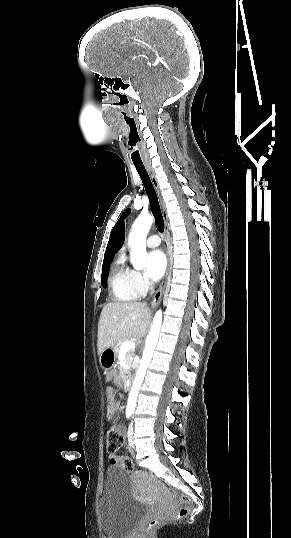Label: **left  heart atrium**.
<instances>
[{
	"label": "left heart atrium",
	"mask_w": 291,
	"mask_h": 538,
	"mask_svg": "<svg viewBox=\"0 0 291 538\" xmlns=\"http://www.w3.org/2000/svg\"><path fill=\"white\" fill-rule=\"evenodd\" d=\"M166 258L161 250H153L146 258L145 275L151 282L159 280L166 268Z\"/></svg>",
	"instance_id": "obj_1"
}]
</instances>
